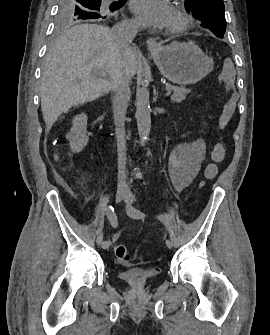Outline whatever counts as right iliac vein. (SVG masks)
Listing matches in <instances>:
<instances>
[{
	"label": "right iliac vein",
	"instance_id": "right-iliac-vein-1",
	"mask_svg": "<svg viewBox=\"0 0 270 335\" xmlns=\"http://www.w3.org/2000/svg\"><path fill=\"white\" fill-rule=\"evenodd\" d=\"M126 195V190L123 186H118L117 191H116V202L119 203L121 202ZM102 241H103V233L101 232L96 239V243L98 245H102Z\"/></svg>",
	"mask_w": 270,
	"mask_h": 335
}]
</instances>
